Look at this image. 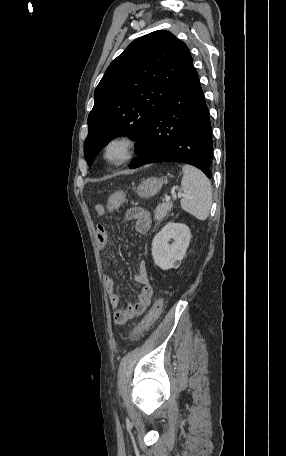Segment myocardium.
<instances>
[{
  "label": "myocardium",
  "mask_w": 286,
  "mask_h": 456,
  "mask_svg": "<svg viewBox=\"0 0 286 456\" xmlns=\"http://www.w3.org/2000/svg\"><path fill=\"white\" fill-rule=\"evenodd\" d=\"M125 144V155L119 160H111L108 157L109 148L115 143ZM139 147L138 138L130 132H120L111 136L104 144L102 157L104 161L111 166H121L130 161L136 154Z\"/></svg>",
  "instance_id": "1"
}]
</instances>
